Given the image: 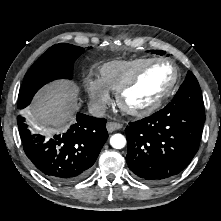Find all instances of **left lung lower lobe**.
I'll use <instances>...</instances> for the list:
<instances>
[{"label": "left lung lower lobe", "mask_w": 221, "mask_h": 221, "mask_svg": "<svg viewBox=\"0 0 221 221\" xmlns=\"http://www.w3.org/2000/svg\"><path fill=\"white\" fill-rule=\"evenodd\" d=\"M205 114L168 104L125 129L129 169L149 183L165 182L178 175L198 151Z\"/></svg>", "instance_id": "0a47b994"}]
</instances>
